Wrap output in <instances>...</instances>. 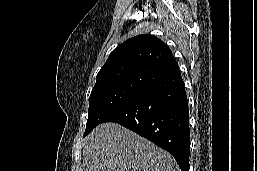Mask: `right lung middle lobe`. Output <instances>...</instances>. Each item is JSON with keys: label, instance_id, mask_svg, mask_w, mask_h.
Wrapping results in <instances>:
<instances>
[{"label": "right lung middle lobe", "instance_id": "1", "mask_svg": "<svg viewBox=\"0 0 257 171\" xmlns=\"http://www.w3.org/2000/svg\"><path fill=\"white\" fill-rule=\"evenodd\" d=\"M145 89L147 87L142 84H113L93 88L89 98L88 120L83 136L88 135L97 125L103 123L110 114Z\"/></svg>", "mask_w": 257, "mask_h": 171}]
</instances>
